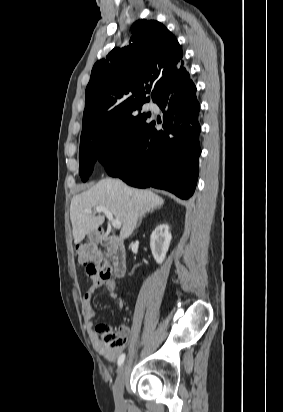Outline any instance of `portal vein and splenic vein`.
I'll return each instance as SVG.
<instances>
[{
    "label": "portal vein and splenic vein",
    "instance_id": "portal-vein-and-splenic-vein-1",
    "mask_svg": "<svg viewBox=\"0 0 283 412\" xmlns=\"http://www.w3.org/2000/svg\"><path fill=\"white\" fill-rule=\"evenodd\" d=\"M85 212L86 213H92V210L91 209H85ZM95 212L104 213L106 215L107 219L109 220V222L112 224V226L114 228H116V229L121 228L120 221L117 220V219H114L113 215L110 213V211L106 207H103V206L96 207Z\"/></svg>",
    "mask_w": 283,
    "mask_h": 412
}]
</instances>
